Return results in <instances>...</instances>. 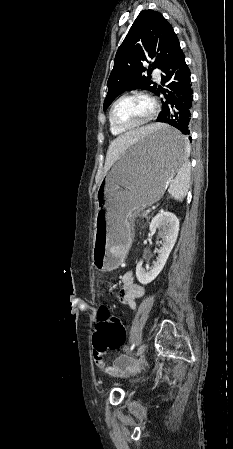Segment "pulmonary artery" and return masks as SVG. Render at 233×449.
<instances>
[{"label":"pulmonary artery","instance_id":"1","mask_svg":"<svg viewBox=\"0 0 233 449\" xmlns=\"http://www.w3.org/2000/svg\"><path fill=\"white\" fill-rule=\"evenodd\" d=\"M153 75L157 81H160L161 76H160V71L158 69L154 70Z\"/></svg>","mask_w":233,"mask_h":449}]
</instances>
